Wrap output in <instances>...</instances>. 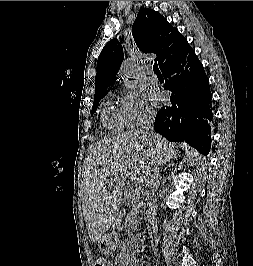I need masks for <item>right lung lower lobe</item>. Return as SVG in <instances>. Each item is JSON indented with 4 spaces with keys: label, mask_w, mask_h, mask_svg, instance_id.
<instances>
[{
    "label": "right lung lower lobe",
    "mask_w": 253,
    "mask_h": 266,
    "mask_svg": "<svg viewBox=\"0 0 253 266\" xmlns=\"http://www.w3.org/2000/svg\"><path fill=\"white\" fill-rule=\"evenodd\" d=\"M161 71L165 78L164 88L172 94L170 104L157 112L155 131L170 142H187L208 153L212 95L202 63L190 48Z\"/></svg>",
    "instance_id": "right-lung-lower-lobe-1"
}]
</instances>
